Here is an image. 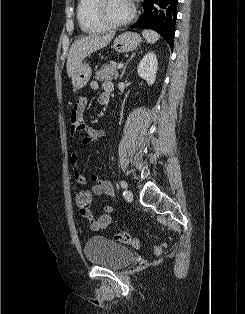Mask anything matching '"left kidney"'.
Wrapping results in <instances>:
<instances>
[{"instance_id": "left-kidney-1", "label": "left kidney", "mask_w": 245, "mask_h": 314, "mask_svg": "<svg viewBox=\"0 0 245 314\" xmlns=\"http://www.w3.org/2000/svg\"><path fill=\"white\" fill-rule=\"evenodd\" d=\"M158 69V61L154 52L146 53L138 65V75L147 81L149 85H153L156 79Z\"/></svg>"}]
</instances>
